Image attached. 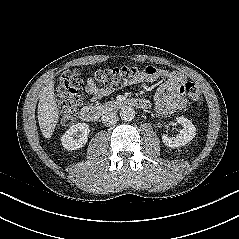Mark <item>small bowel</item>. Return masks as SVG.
Returning a JSON list of instances; mask_svg holds the SVG:
<instances>
[{"mask_svg": "<svg viewBox=\"0 0 239 239\" xmlns=\"http://www.w3.org/2000/svg\"><path fill=\"white\" fill-rule=\"evenodd\" d=\"M168 76V80L162 84L155 96L156 108L160 114L169 115L179 111L185 106V98L182 90V77L177 74H167L163 70L148 65L142 70H138L133 83L154 82L155 80ZM85 92L91 96L93 100L100 99L112 92L111 88L97 87L93 78H88L84 83Z\"/></svg>", "mask_w": 239, "mask_h": 239, "instance_id": "1", "label": "small bowel"}]
</instances>
